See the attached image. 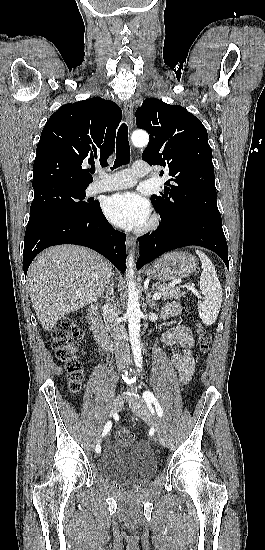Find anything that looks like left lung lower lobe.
<instances>
[{"label": "left lung lower lobe", "instance_id": "obj_1", "mask_svg": "<svg viewBox=\"0 0 265 550\" xmlns=\"http://www.w3.org/2000/svg\"><path fill=\"white\" fill-rule=\"evenodd\" d=\"M138 240L140 243V256L136 264L138 269L167 251L188 245H197L214 251L229 268L228 247L222 222L201 215L185 214L172 220L162 221L155 232L142 236Z\"/></svg>", "mask_w": 265, "mask_h": 550}]
</instances>
